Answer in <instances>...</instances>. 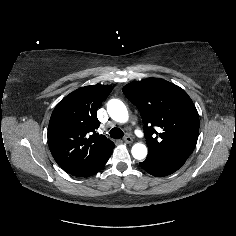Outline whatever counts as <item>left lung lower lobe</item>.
<instances>
[{"label":"left lung lower lobe","mask_w":236,"mask_h":236,"mask_svg":"<svg viewBox=\"0 0 236 236\" xmlns=\"http://www.w3.org/2000/svg\"><path fill=\"white\" fill-rule=\"evenodd\" d=\"M184 163L185 161L182 160H163L148 156L145 161L140 163V166L153 176L163 177L174 173Z\"/></svg>","instance_id":"left-lung-lower-lobe-1"}]
</instances>
